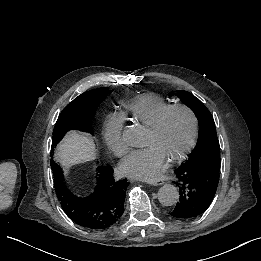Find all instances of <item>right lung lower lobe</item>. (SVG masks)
Here are the masks:
<instances>
[{
    "label": "right lung lower lobe",
    "instance_id": "98d812e1",
    "mask_svg": "<svg viewBox=\"0 0 261 261\" xmlns=\"http://www.w3.org/2000/svg\"><path fill=\"white\" fill-rule=\"evenodd\" d=\"M99 183L92 195L79 198L62 182V173L54 177L55 191L67 216L79 226L88 229H105L115 224L124 211L126 180H116L113 169L99 166Z\"/></svg>",
    "mask_w": 261,
    "mask_h": 261
}]
</instances>
